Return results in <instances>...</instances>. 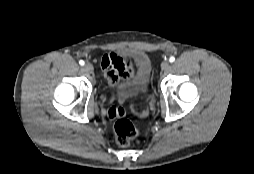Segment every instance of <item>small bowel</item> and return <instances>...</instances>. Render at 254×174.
I'll return each instance as SVG.
<instances>
[{
	"mask_svg": "<svg viewBox=\"0 0 254 174\" xmlns=\"http://www.w3.org/2000/svg\"><path fill=\"white\" fill-rule=\"evenodd\" d=\"M134 64L117 54L105 55L102 59V70L112 91L125 79L133 74ZM115 107L109 108L106 112L109 118H115L113 111Z\"/></svg>",
	"mask_w": 254,
	"mask_h": 174,
	"instance_id": "obj_1",
	"label": "small bowel"
}]
</instances>
